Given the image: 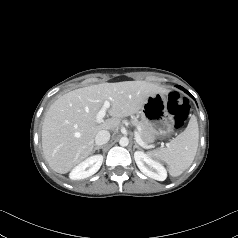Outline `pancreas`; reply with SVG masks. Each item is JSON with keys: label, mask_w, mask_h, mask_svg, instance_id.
I'll use <instances>...</instances> for the list:
<instances>
[{"label": "pancreas", "mask_w": 238, "mask_h": 238, "mask_svg": "<svg viewBox=\"0 0 238 238\" xmlns=\"http://www.w3.org/2000/svg\"><path fill=\"white\" fill-rule=\"evenodd\" d=\"M132 123L139 128V135L145 144L153 142L154 130L152 128L147 126L145 123L136 120H133Z\"/></svg>", "instance_id": "obj_1"}]
</instances>
